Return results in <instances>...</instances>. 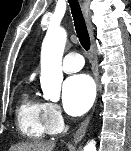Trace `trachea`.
Instances as JSON below:
<instances>
[{
    "mask_svg": "<svg viewBox=\"0 0 131 151\" xmlns=\"http://www.w3.org/2000/svg\"><path fill=\"white\" fill-rule=\"evenodd\" d=\"M73 19H74V24H75V29L77 36L79 38V41L82 45V47L88 51L90 49V37L88 34V30L81 12L80 5L77 0H68Z\"/></svg>",
    "mask_w": 131,
    "mask_h": 151,
    "instance_id": "1",
    "label": "trachea"
}]
</instances>
